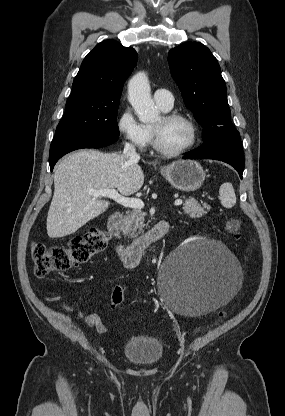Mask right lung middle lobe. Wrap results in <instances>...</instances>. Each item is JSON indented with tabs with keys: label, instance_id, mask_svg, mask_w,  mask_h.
<instances>
[{
	"label": "right lung middle lobe",
	"instance_id": "obj_1",
	"mask_svg": "<svg viewBox=\"0 0 285 416\" xmlns=\"http://www.w3.org/2000/svg\"><path fill=\"white\" fill-rule=\"evenodd\" d=\"M118 107L119 99L81 100L69 97L55 136H119L116 120Z\"/></svg>",
	"mask_w": 285,
	"mask_h": 416
}]
</instances>
